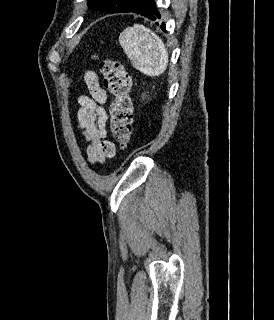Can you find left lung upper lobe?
<instances>
[{
	"label": "left lung upper lobe",
	"instance_id": "1",
	"mask_svg": "<svg viewBox=\"0 0 274 320\" xmlns=\"http://www.w3.org/2000/svg\"><path fill=\"white\" fill-rule=\"evenodd\" d=\"M92 10L119 13L131 6L136 0H87Z\"/></svg>",
	"mask_w": 274,
	"mask_h": 320
}]
</instances>
